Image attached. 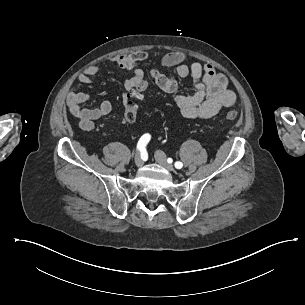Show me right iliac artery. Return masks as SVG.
<instances>
[{
  "label": "right iliac artery",
  "instance_id": "right-iliac-artery-1",
  "mask_svg": "<svg viewBox=\"0 0 305 305\" xmlns=\"http://www.w3.org/2000/svg\"><path fill=\"white\" fill-rule=\"evenodd\" d=\"M150 138H151L150 134H148V133L144 134L140 138V140H139V142L137 144V150H139L140 152L143 151L145 149L147 143L150 141Z\"/></svg>",
  "mask_w": 305,
  "mask_h": 305
}]
</instances>
